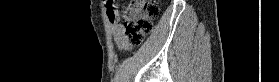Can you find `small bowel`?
<instances>
[{"mask_svg":"<svg viewBox=\"0 0 279 82\" xmlns=\"http://www.w3.org/2000/svg\"><path fill=\"white\" fill-rule=\"evenodd\" d=\"M107 18L112 32V37L118 48H127L125 42L124 30L120 25V21L116 15V3L107 5Z\"/></svg>","mask_w":279,"mask_h":82,"instance_id":"1","label":"small bowel"}]
</instances>
